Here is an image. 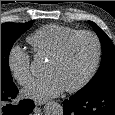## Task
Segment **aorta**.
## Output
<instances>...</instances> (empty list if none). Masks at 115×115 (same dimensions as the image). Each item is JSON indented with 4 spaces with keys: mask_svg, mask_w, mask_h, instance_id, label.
<instances>
[{
    "mask_svg": "<svg viewBox=\"0 0 115 115\" xmlns=\"http://www.w3.org/2000/svg\"><path fill=\"white\" fill-rule=\"evenodd\" d=\"M45 115H63V107L57 102H49L44 107Z\"/></svg>",
    "mask_w": 115,
    "mask_h": 115,
    "instance_id": "obj_1",
    "label": "aorta"
}]
</instances>
